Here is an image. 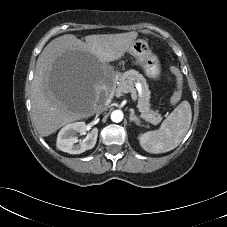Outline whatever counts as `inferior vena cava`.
Here are the masks:
<instances>
[{
    "label": "inferior vena cava",
    "mask_w": 227,
    "mask_h": 227,
    "mask_svg": "<svg viewBox=\"0 0 227 227\" xmlns=\"http://www.w3.org/2000/svg\"><path fill=\"white\" fill-rule=\"evenodd\" d=\"M107 109L106 104H97L95 106V112L96 114H101L103 111H105Z\"/></svg>",
    "instance_id": "inferior-vena-cava-1"
}]
</instances>
